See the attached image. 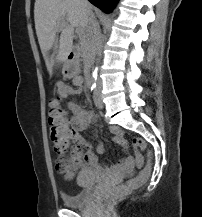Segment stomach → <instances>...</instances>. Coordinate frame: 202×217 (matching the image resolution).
Wrapping results in <instances>:
<instances>
[{"label":"stomach","mask_w":202,"mask_h":217,"mask_svg":"<svg viewBox=\"0 0 202 217\" xmlns=\"http://www.w3.org/2000/svg\"><path fill=\"white\" fill-rule=\"evenodd\" d=\"M77 73H78L77 64L66 62L64 69H63V75L65 77H73Z\"/></svg>","instance_id":"1"}]
</instances>
